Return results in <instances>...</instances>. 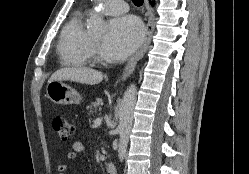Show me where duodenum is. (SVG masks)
Masks as SVG:
<instances>
[{"label":"duodenum","mask_w":249,"mask_h":174,"mask_svg":"<svg viewBox=\"0 0 249 174\" xmlns=\"http://www.w3.org/2000/svg\"><path fill=\"white\" fill-rule=\"evenodd\" d=\"M106 171L108 174H117V166L113 163L106 164Z\"/></svg>","instance_id":"duodenum-1"}]
</instances>
